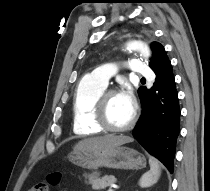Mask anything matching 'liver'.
Here are the masks:
<instances>
[{
  "label": "liver",
  "instance_id": "obj_1",
  "mask_svg": "<svg viewBox=\"0 0 210 191\" xmlns=\"http://www.w3.org/2000/svg\"><path fill=\"white\" fill-rule=\"evenodd\" d=\"M133 139L128 136L106 135L100 137H92L79 141L74 150H95L116 147L132 142Z\"/></svg>",
  "mask_w": 210,
  "mask_h": 191
}]
</instances>
